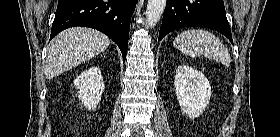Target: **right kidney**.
I'll list each match as a JSON object with an SVG mask.
<instances>
[{
  "instance_id": "1",
  "label": "right kidney",
  "mask_w": 280,
  "mask_h": 137,
  "mask_svg": "<svg viewBox=\"0 0 280 137\" xmlns=\"http://www.w3.org/2000/svg\"><path fill=\"white\" fill-rule=\"evenodd\" d=\"M74 86L78 89V98L88 108L96 109L104 91L103 77L99 67H91L83 71L75 80Z\"/></svg>"
}]
</instances>
